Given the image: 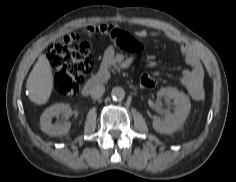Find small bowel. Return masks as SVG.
<instances>
[{
	"instance_id": "c3829d8e",
	"label": "small bowel",
	"mask_w": 236,
	"mask_h": 182,
	"mask_svg": "<svg viewBox=\"0 0 236 182\" xmlns=\"http://www.w3.org/2000/svg\"><path fill=\"white\" fill-rule=\"evenodd\" d=\"M141 38L156 37L157 34L149 33L145 30L138 32ZM165 39L175 42L179 46V52L183 57L185 63L189 66L180 75V83L186 88L190 97L194 100H202L205 96L203 81L204 68L201 63L198 52L182 37L172 33L166 32L162 35Z\"/></svg>"
}]
</instances>
